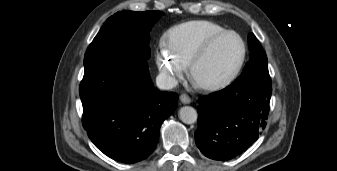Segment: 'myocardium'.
Returning <instances> with one entry per match:
<instances>
[{
    "label": "myocardium",
    "mask_w": 337,
    "mask_h": 171,
    "mask_svg": "<svg viewBox=\"0 0 337 171\" xmlns=\"http://www.w3.org/2000/svg\"><path fill=\"white\" fill-rule=\"evenodd\" d=\"M227 36H236L241 43L242 52H241L239 61L237 62L235 67L230 71V73L224 79L220 81L212 82V83H202V82L197 81L196 76H195V71H196L198 64L207 55V53L214 46L215 43H217L219 40ZM246 56H247V46L242 36L233 30L223 31L219 34L212 36L208 40H206L195 52V54L193 55L188 65L190 77L193 80V82L203 90L218 91V90L224 89L228 87L229 85H231L235 81V79L238 77L245 63Z\"/></svg>",
    "instance_id": "1"
}]
</instances>
